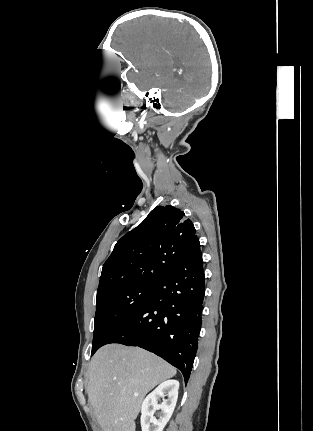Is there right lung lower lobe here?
Wrapping results in <instances>:
<instances>
[{"label": "right lung lower lobe", "mask_w": 313, "mask_h": 431, "mask_svg": "<svg viewBox=\"0 0 313 431\" xmlns=\"http://www.w3.org/2000/svg\"><path fill=\"white\" fill-rule=\"evenodd\" d=\"M199 239L147 301L105 344L138 346L178 368L187 383L197 351L205 294Z\"/></svg>", "instance_id": "1"}]
</instances>
